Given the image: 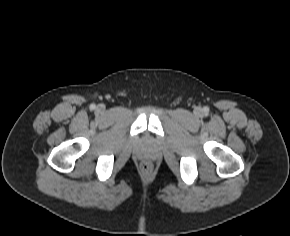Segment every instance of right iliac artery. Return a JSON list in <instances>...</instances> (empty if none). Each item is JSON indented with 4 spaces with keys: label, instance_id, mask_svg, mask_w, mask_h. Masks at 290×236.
Instances as JSON below:
<instances>
[{
    "label": "right iliac artery",
    "instance_id": "82829eb1",
    "mask_svg": "<svg viewBox=\"0 0 290 236\" xmlns=\"http://www.w3.org/2000/svg\"><path fill=\"white\" fill-rule=\"evenodd\" d=\"M95 108H96L95 104H91V105H90V109H91V110H94Z\"/></svg>",
    "mask_w": 290,
    "mask_h": 236
}]
</instances>
